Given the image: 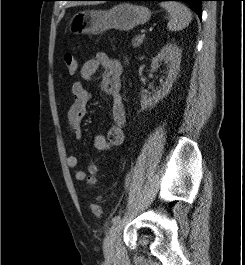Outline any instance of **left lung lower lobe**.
Returning <instances> with one entry per match:
<instances>
[{
  "label": "left lung lower lobe",
  "instance_id": "left-lung-lower-lobe-1",
  "mask_svg": "<svg viewBox=\"0 0 245 265\" xmlns=\"http://www.w3.org/2000/svg\"><path fill=\"white\" fill-rule=\"evenodd\" d=\"M100 1H183L189 4L192 9L199 15L202 16L201 12V2L205 0H100Z\"/></svg>",
  "mask_w": 245,
  "mask_h": 265
}]
</instances>
